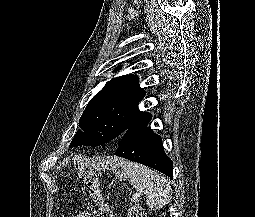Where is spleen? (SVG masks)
I'll return each instance as SVG.
<instances>
[{"mask_svg":"<svg viewBox=\"0 0 255 217\" xmlns=\"http://www.w3.org/2000/svg\"><path fill=\"white\" fill-rule=\"evenodd\" d=\"M111 168L117 177L128 179L136 190L146 195V205L149 208L160 209L171 201V185L160 173L141 164L118 158L111 162ZM118 168H121V171L117 170Z\"/></svg>","mask_w":255,"mask_h":217,"instance_id":"1","label":"spleen"}]
</instances>
